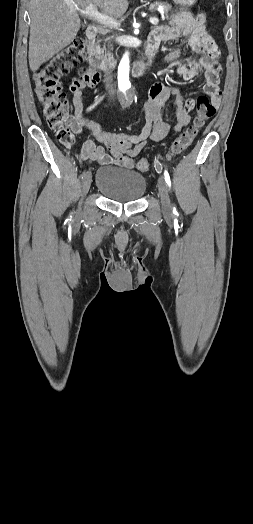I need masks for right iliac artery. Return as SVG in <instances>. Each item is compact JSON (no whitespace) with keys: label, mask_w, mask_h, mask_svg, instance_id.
I'll list each match as a JSON object with an SVG mask.
<instances>
[{"label":"right iliac artery","mask_w":253,"mask_h":524,"mask_svg":"<svg viewBox=\"0 0 253 524\" xmlns=\"http://www.w3.org/2000/svg\"><path fill=\"white\" fill-rule=\"evenodd\" d=\"M85 175H86V170H84V171L82 172V174L80 175L82 181L84 180Z\"/></svg>","instance_id":"82829eb1"}]
</instances>
